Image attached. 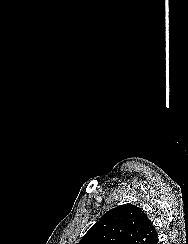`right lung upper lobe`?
<instances>
[{"label": "right lung upper lobe", "instance_id": "right-lung-upper-lobe-1", "mask_svg": "<svg viewBox=\"0 0 188 244\" xmlns=\"http://www.w3.org/2000/svg\"><path fill=\"white\" fill-rule=\"evenodd\" d=\"M156 237L155 226L144 211L127 204L106 212L78 244H150Z\"/></svg>", "mask_w": 188, "mask_h": 244}]
</instances>
